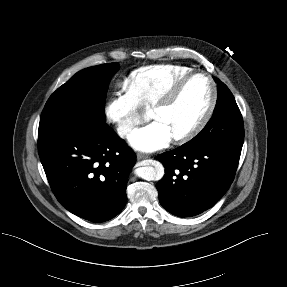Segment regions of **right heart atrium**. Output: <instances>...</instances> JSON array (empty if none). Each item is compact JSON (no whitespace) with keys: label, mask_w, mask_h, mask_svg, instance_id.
<instances>
[{"label":"right heart atrium","mask_w":287,"mask_h":287,"mask_svg":"<svg viewBox=\"0 0 287 287\" xmlns=\"http://www.w3.org/2000/svg\"><path fill=\"white\" fill-rule=\"evenodd\" d=\"M104 112L121 137H127L141 121L140 105L125 84L108 100Z\"/></svg>","instance_id":"d8ad5b80"}]
</instances>
